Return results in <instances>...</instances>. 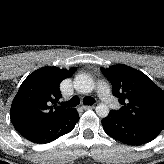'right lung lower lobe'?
<instances>
[{
    "label": "right lung lower lobe",
    "instance_id": "1",
    "mask_svg": "<svg viewBox=\"0 0 164 164\" xmlns=\"http://www.w3.org/2000/svg\"><path fill=\"white\" fill-rule=\"evenodd\" d=\"M78 120V113L74 110V112L35 127L21 135L34 143H48L72 131Z\"/></svg>",
    "mask_w": 164,
    "mask_h": 164
}]
</instances>
